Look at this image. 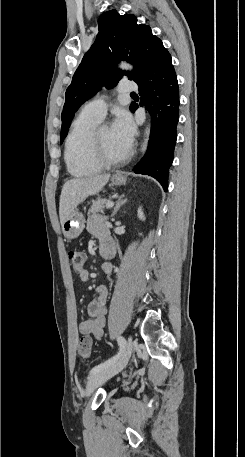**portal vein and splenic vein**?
Here are the masks:
<instances>
[{"label":"portal vein and splenic vein","instance_id":"obj_1","mask_svg":"<svg viewBox=\"0 0 245 457\" xmlns=\"http://www.w3.org/2000/svg\"><path fill=\"white\" fill-rule=\"evenodd\" d=\"M111 206H114V202L110 200V202H106V208H111Z\"/></svg>","mask_w":245,"mask_h":457}]
</instances>
